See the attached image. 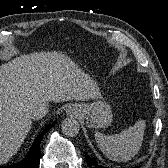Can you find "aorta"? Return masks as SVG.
Here are the masks:
<instances>
[{"instance_id": "obj_1", "label": "aorta", "mask_w": 168, "mask_h": 168, "mask_svg": "<svg viewBox=\"0 0 168 168\" xmlns=\"http://www.w3.org/2000/svg\"><path fill=\"white\" fill-rule=\"evenodd\" d=\"M61 129L65 135H67L69 137H73L78 134V132L80 130V126H79V123L76 119L66 118L62 121Z\"/></svg>"}]
</instances>
